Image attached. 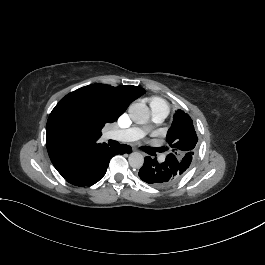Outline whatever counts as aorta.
Listing matches in <instances>:
<instances>
[{"instance_id": "aorta-1", "label": "aorta", "mask_w": 265, "mask_h": 265, "mask_svg": "<svg viewBox=\"0 0 265 265\" xmlns=\"http://www.w3.org/2000/svg\"><path fill=\"white\" fill-rule=\"evenodd\" d=\"M129 115L137 124H145L150 118V110L144 103H133L129 107ZM128 161L132 168L139 169L144 164V156L140 152H132Z\"/></svg>"}]
</instances>
